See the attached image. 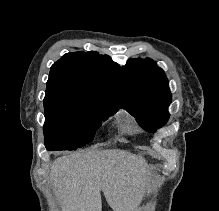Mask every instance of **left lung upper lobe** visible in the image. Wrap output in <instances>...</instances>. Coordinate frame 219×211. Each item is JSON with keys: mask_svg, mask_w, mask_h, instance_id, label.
<instances>
[{"mask_svg": "<svg viewBox=\"0 0 219 211\" xmlns=\"http://www.w3.org/2000/svg\"><path fill=\"white\" fill-rule=\"evenodd\" d=\"M122 71L124 108L144 129L154 132L169 118L171 94L164 71L150 58L129 59Z\"/></svg>", "mask_w": 219, "mask_h": 211, "instance_id": "left-lung-upper-lobe-1", "label": "left lung upper lobe"}]
</instances>
